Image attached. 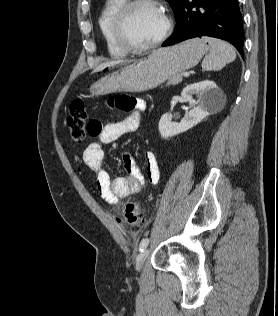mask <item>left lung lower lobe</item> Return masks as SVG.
Returning <instances> with one entry per match:
<instances>
[{"mask_svg":"<svg viewBox=\"0 0 278 316\" xmlns=\"http://www.w3.org/2000/svg\"><path fill=\"white\" fill-rule=\"evenodd\" d=\"M177 25L162 46L202 36L230 42L243 55L244 31L238 0H183Z\"/></svg>","mask_w":278,"mask_h":316,"instance_id":"0a47b994","label":"left lung lower lobe"}]
</instances>
